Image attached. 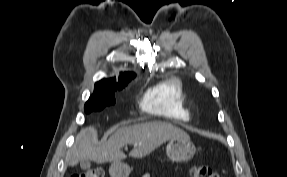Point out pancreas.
I'll use <instances>...</instances> for the list:
<instances>
[{
  "mask_svg": "<svg viewBox=\"0 0 287 177\" xmlns=\"http://www.w3.org/2000/svg\"><path fill=\"white\" fill-rule=\"evenodd\" d=\"M143 177H150V175L147 173V174H145Z\"/></svg>",
  "mask_w": 287,
  "mask_h": 177,
  "instance_id": "cf45deb5",
  "label": "pancreas"
}]
</instances>
